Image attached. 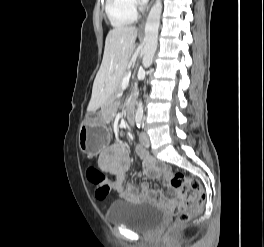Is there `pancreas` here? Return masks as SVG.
<instances>
[{
    "mask_svg": "<svg viewBox=\"0 0 264 247\" xmlns=\"http://www.w3.org/2000/svg\"><path fill=\"white\" fill-rule=\"evenodd\" d=\"M126 76H127V74H125V75L123 76V78L126 77ZM123 78H122V79H123ZM120 90H121V82L118 83V85H117V87H116V89H115V92H114L115 97L120 93Z\"/></svg>",
    "mask_w": 264,
    "mask_h": 247,
    "instance_id": "pancreas-1",
    "label": "pancreas"
}]
</instances>
